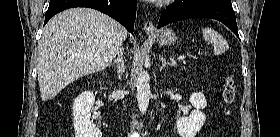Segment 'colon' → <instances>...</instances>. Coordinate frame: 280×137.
Returning <instances> with one entry per match:
<instances>
[{"mask_svg": "<svg viewBox=\"0 0 280 137\" xmlns=\"http://www.w3.org/2000/svg\"><path fill=\"white\" fill-rule=\"evenodd\" d=\"M223 97L226 104L230 105L235 97V89L231 78H227L225 81V87L223 91Z\"/></svg>", "mask_w": 280, "mask_h": 137, "instance_id": "colon-1", "label": "colon"}]
</instances>
